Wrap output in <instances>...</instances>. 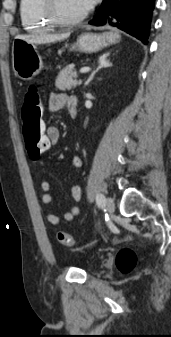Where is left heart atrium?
<instances>
[{"mask_svg":"<svg viewBox=\"0 0 171 337\" xmlns=\"http://www.w3.org/2000/svg\"><path fill=\"white\" fill-rule=\"evenodd\" d=\"M98 0H80L82 6L87 10L93 7Z\"/></svg>","mask_w":171,"mask_h":337,"instance_id":"obj_1","label":"left heart atrium"}]
</instances>
